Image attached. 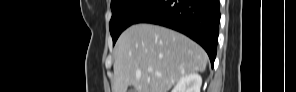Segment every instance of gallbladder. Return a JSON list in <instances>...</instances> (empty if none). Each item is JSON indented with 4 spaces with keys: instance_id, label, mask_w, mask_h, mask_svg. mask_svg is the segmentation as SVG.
Listing matches in <instances>:
<instances>
[{
    "instance_id": "bac80fb5",
    "label": "gallbladder",
    "mask_w": 296,
    "mask_h": 92,
    "mask_svg": "<svg viewBox=\"0 0 296 92\" xmlns=\"http://www.w3.org/2000/svg\"><path fill=\"white\" fill-rule=\"evenodd\" d=\"M135 90H129L128 92H134Z\"/></svg>"
}]
</instances>
